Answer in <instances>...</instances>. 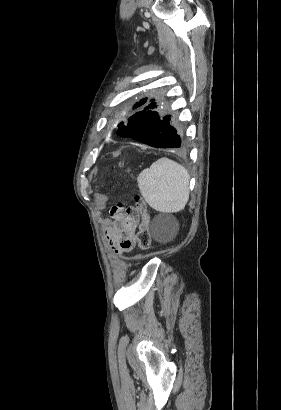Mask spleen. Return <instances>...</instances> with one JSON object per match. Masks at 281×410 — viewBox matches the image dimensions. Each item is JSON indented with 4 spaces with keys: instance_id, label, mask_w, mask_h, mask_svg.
Returning <instances> with one entry per match:
<instances>
[{
    "instance_id": "obj_1",
    "label": "spleen",
    "mask_w": 281,
    "mask_h": 410,
    "mask_svg": "<svg viewBox=\"0 0 281 410\" xmlns=\"http://www.w3.org/2000/svg\"><path fill=\"white\" fill-rule=\"evenodd\" d=\"M188 171L166 157L160 158L137 177L144 200L154 210L176 213L184 209L189 199Z\"/></svg>"
}]
</instances>
